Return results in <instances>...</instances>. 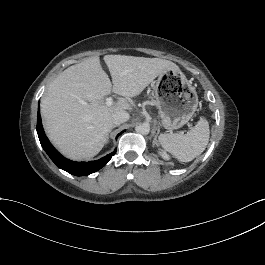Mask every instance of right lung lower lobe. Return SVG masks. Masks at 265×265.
<instances>
[{"label":"right lung lower lobe","instance_id":"1","mask_svg":"<svg viewBox=\"0 0 265 265\" xmlns=\"http://www.w3.org/2000/svg\"><path fill=\"white\" fill-rule=\"evenodd\" d=\"M38 108V116H37V133L40 140V143L51 158V160L61 169L67 171L70 174L76 176H86L91 173H94L101 169L107 162L112 158V156L116 153V149L106 155L105 157L96 160V161H89V162H74L65 157H63L55 148L50 144L49 140L47 139L41 122V116ZM121 134V133H120ZM119 134V135H120Z\"/></svg>","mask_w":265,"mask_h":265}]
</instances>
